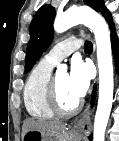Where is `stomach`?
<instances>
[{"label":"stomach","mask_w":119,"mask_h":141,"mask_svg":"<svg viewBox=\"0 0 119 141\" xmlns=\"http://www.w3.org/2000/svg\"><path fill=\"white\" fill-rule=\"evenodd\" d=\"M79 137L71 132L48 133L29 130L22 136V141H78Z\"/></svg>","instance_id":"obj_1"}]
</instances>
